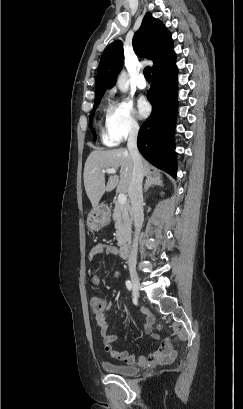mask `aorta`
Segmentation results:
<instances>
[{
	"label": "aorta",
	"instance_id": "aorta-1",
	"mask_svg": "<svg viewBox=\"0 0 243 409\" xmlns=\"http://www.w3.org/2000/svg\"><path fill=\"white\" fill-rule=\"evenodd\" d=\"M117 86L121 92H127L129 89L128 75L125 71H122L117 79Z\"/></svg>",
	"mask_w": 243,
	"mask_h": 409
}]
</instances>
